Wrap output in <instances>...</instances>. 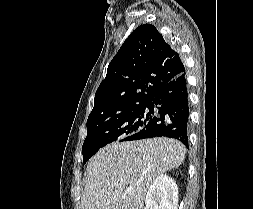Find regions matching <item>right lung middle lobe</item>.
Masks as SVG:
<instances>
[{
    "mask_svg": "<svg viewBox=\"0 0 253 209\" xmlns=\"http://www.w3.org/2000/svg\"><path fill=\"white\" fill-rule=\"evenodd\" d=\"M153 116L149 103L140 104L123 112L87 120V137L82 146L86 163L100 148L114 142L126 141L141 131Z\"/></svg>",
    "mask_w": 253,
    "mask_h": 209,
    "instance_id": "dd1d6c3e",
    "label": "right lung middle lobe"
}]
</instances>
